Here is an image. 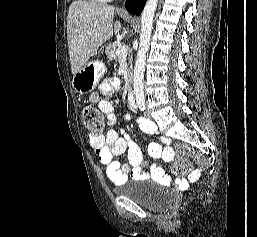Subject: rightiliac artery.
Masks as SVG:
<instances>
[{"instance_id": "82829eb1", "label": "right iliac artery", "mask_w": 257, "mask_h": 237, "mask_svg": "<svg viewBox=\"0 0 257 237\" xmlns=\"http://www.w3.org/2000/svg\"><path fill=\"white\" fill-rule=\"evenodd\" d=\"M138 106H139V108H140L141 111H144V110H145V104H144V102H139V103H138Z\"/></svg>"}]
</instances>
